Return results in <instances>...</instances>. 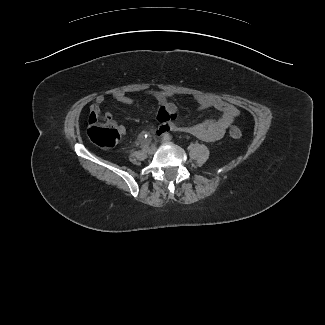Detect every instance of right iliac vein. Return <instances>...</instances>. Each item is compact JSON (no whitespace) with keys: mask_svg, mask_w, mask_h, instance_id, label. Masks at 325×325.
<instances>
[{"mask_svg":"<svg viewBox=\"0 0 325 325\" xmlns=\"http://www.w3.org/2000/svg\"><path fill=\"white\" fill-rule=\"evenodd\" d=\"M156 151V147L155 146H151L150 148H148V150L146 151L149 155H153Z\"/></svg>","mask_w":325,"mask_h":325,"instance_id":"63e3f726","label":"right iliac vein"}]
</instances>
